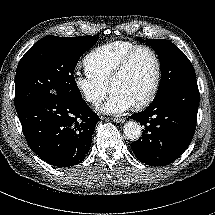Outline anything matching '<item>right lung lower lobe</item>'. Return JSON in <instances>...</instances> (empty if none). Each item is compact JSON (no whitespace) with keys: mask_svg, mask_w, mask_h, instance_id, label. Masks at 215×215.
I'll list each match as a JSON object with an SVG mask.
<instances>
[{"mask_svg":"<svg viewBox=\"0 0 215 215\" xmlns=\"http://www.w3.org/2000/svg\"><path fill=\"white\" fill-rule=\"evenodd\" d=\"M16 111L28 145L42 160L56 167L84 160L99 121L84 100L42 96Z\"/></svg>","mask_w":215,"mask_h":215,"instance_id":"98d812e1","label":"right lung lower lobe"}]
</instances>
